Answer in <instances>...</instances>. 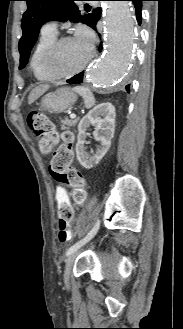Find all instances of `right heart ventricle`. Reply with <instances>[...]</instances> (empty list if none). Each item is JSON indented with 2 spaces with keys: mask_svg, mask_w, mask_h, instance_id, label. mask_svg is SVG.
Segmentation results:
<instances>
[{
  "mask_svg": "<svg viewBox=\"0 0 183 329\" xmlns=\"http://www.w3.org/2000/svg\"><path fill=\"white\" fill-rule=\"evenodd\" d=\"M57 39V34L41 32V35L33 49L30 58V67L35 78L39 81L47 82L53 80L46 69L45 59L47 52L53 42Z\"/></svg>",
  "mask_w": 183,
  "mask_h": 329,
  "instance_id": "1",
  "label": "right heart ventricle"
}]
</instances>
